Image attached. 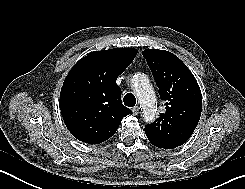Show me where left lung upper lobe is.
I'll return each instance as SVG.
<instances>
[{
    "mask_svg": "<svg viewBox=\"0 0 245 189\" xmlns=\"http://www.w3.org/2000/svg\"><path fill=\"white\" fill-rule=\"evenodd\" d=\"M164 100V113L145 126L151 144L171 149L184 144L195 130L201 115L199 85L187 66L173 53L146 49L142 52Z\"/></svg>",
    "mask_w": 245,
    "mask_h": 189,
    "instance_id": "1",
    "label": "left lung upper lobe"
}]
</instances>
